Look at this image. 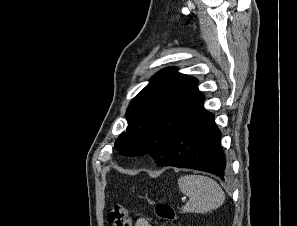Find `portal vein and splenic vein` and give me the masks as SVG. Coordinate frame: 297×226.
Wrapping results in <instances>:
<instances>
[{"label":"portal vein and splenic vein","instance_id":"18ae733b","mask_svg":"<svg viewBox=\"0 0 297 226\" xmlns=\"http://www.w3.org/2000/svg\"><path fill=\"white\" fill-rule=\"evenodd\" d=\"M186 200V198H182V201H185Z\"/></svg>","mask_w":297,"mask_h":226}]
</instances>
